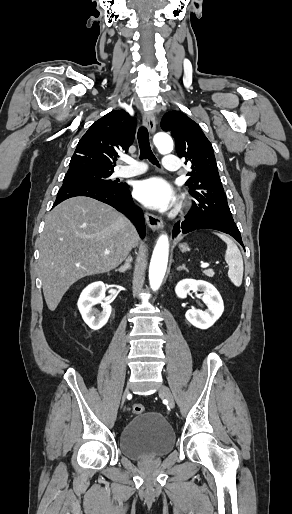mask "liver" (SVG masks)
Segmentation results:
<instances>
[{
  "label": "liver",
  "instance_id": "liver-1",
  "mask_svg": "<svg viewBox=\"0 0 292 514\" xmlns=\"http://www.w3.org/2000/svg\"><path fill=\"white\" fill-rule=\"evenodd\" d=\"M136 240L131 222L98 200L77 196L56 206L46 216L39 240V270L49 310H56L77 280L122 264Z\"/></svg>",
  "mask_w": 292,
  "mask_h": 514
}]
</instances>
